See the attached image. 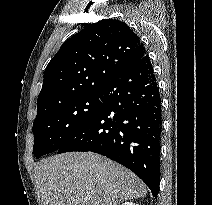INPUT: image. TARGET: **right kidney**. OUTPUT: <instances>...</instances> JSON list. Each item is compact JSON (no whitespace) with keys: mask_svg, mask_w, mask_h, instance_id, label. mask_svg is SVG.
<instances>
[{"mask_svg":"<svg viewBox=\"0 0 212 205\" xmlns=\"http://www.w3.org/2000/svg\"><path fill=\"white\" fill-rule=\"evenodd\" d=\"M122 205H138V204H135V203H133V202H125V203H123Z\"/></svg>","mask_w":212,"mask_h":205,"instance_id":"right-kidney-1","label":"right kidney"}]
</instances>
